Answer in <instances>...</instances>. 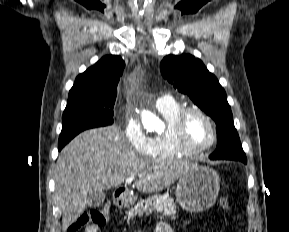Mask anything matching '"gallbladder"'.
<instances>
[{"label":"gallbladder","instance_id":"bac80fb5","mask_svg":"<svg viewBox=\"0 0 289 232\" xmlns=\"http://www.w3.org/2000/svg\"><path fill=\"white\" fill-rule=\"evenodd\" d=\"M105 200V193L102 191H94L90 196H89V203L88 205L90 207H99L104 203Z\"/></svg>","mask_w":289,"mask_h":232}]
</instances>
